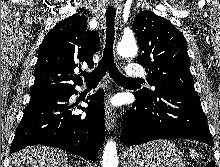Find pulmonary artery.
Returning a JSON list of instances; mask_svg holds the SVG:
<instances>
[{"instance_id": "1", "label": "pulmonary artery", "mask_w": 220, "mask_h": 167, "mask_svg": "<svg viewBox=\"0 0 220 167\" xmlns=\"http://www.w3.org/2000/svg\"><path fill=\"white\" fill-rule=\"evenodd\" d=\"M145 68L139 64H130L126 69V76L129 78H138L145 76Z\"/></svg>"}]
</instances>
